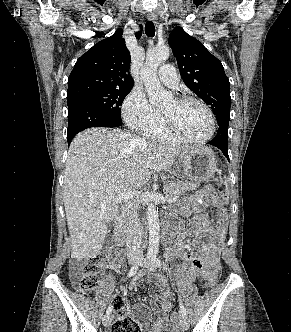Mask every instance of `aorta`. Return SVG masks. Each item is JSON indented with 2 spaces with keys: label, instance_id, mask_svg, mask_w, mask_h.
<instances>
[{
  "label": "aorta",
  "instance_id": "762f6f07",
  "mask_svg": "<svg viewBox=\"0 0 291 332\" xmlns=\"http://www.w3.org/2000/svg\"><path fill=\"white\" fill-rule=\"evenodd\" d=\"M170 50L167 46H157L147 52L144 68L140 71V76L144 82L149 102L152 105H159L172 98V94L163 89L158 76L159 65L169 58ZM147 220L149 227V247L148 253L156 255L159 248L160 226L156 204L152 201L147 208Z\"/></svg>",
  "mask_w": 291,
  "mask_h": 332
}]
</instances>
